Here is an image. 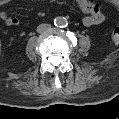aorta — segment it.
Wrapping results in <instances>:
<instances>
[{
  "label": "aorta",
  "instance_id": "obj_1",
  "mask_svg": "<svg viewBox=\"0 0 119 119\" xmlns=\"http://www.w3.org/2000/svg\"><path fill=\"white\" fill-rule=\"evenodd\" d=\"M54 24L58 27H65L67 25V19L64 17H57L54 19Z\"/></svg>",
  "mask_w": 119,
  "mask_h": 119
}]
</instances>
